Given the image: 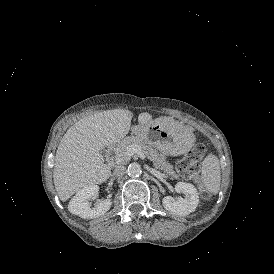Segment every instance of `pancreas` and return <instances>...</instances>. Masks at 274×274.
I'll return each instance as SVG.
<instances>
[{"instance_id":"pancreas-1","label":"pancreas","mask_w":274,"mask_h":274,"mask_svg":"<svg viewBox=\"0 0 274 274\" xmlns=\"http://www.w3.org/2000/svg\"><path fill=\"white\" fill-rule=\"evenodd\" d=\"M138 145L141 149V152L147 156L148 159L155 161L154 166L160 169H163L169 175H173L176 178L179 177L178 174L172 168V165L164 162L163 158H158L159 153L152 147L146 146L139 137L128 136L117 144L115 147V156L113 158L112 165L115 167L125 165L130 160V155H128V147L131 145Z\"/></svg>"}]
</instances>
